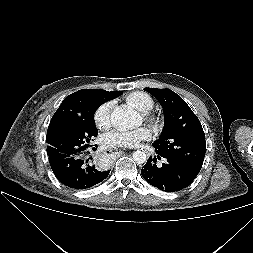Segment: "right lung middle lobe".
<instances>
[{
	"mask_svg": "<svg viewBox=\"0 0 253 253\" xmlns=\"http://www.w3.org/2000/svg\"><path fill=\"white\" fill-rule=\"evenodd\" d=\"M103 104L98 97L87 100L78 116L59 123L46 137L49 158L60 159L86 151L90 141L98 135L94 114Z\"/></svg>",
	"mask_w": 253,
	"mask_h": 253,
	"instance_id": "1",
	"label": "right lung middle lobe"
}]
</instances>
